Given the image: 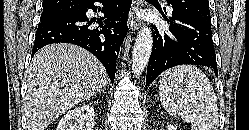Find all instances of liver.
I'll use <instances>...</instances> for the list:
<instances>
[{"label":"liver","instance_id":"1","mask_svg":"<svg viewBox=\"0 0 249 130\" xmlns=\"http://www.w3.org/2000/svg\"><path fill=\"white\" fill-rule=\"evenodd\" d=\"M107 80L101 62L81 47L61 43L40 49L28 70V130H45L59 115L102 90Z\"/></svg>","mask_w":249,"mask_h":130}]
</instances>
